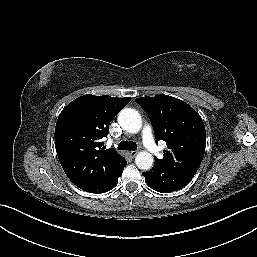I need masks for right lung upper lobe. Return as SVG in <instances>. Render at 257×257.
Masks as SVG:
<instances>
[{"mask_svg": "<svg viewBox=\"0 0 257 257\" xmlns=\"http://www.w3.org/2000/svg\"><path fill=\"white\" fill-rule=\"evenodd\" d=\"M131 98L84 95L69 103L55 127V147L67 177L79 188L98 185L120 168L123 157L101 139Z\"/></svg>", "mask_w": 257, "mask_h": 257, "instance_id": "obj_1", "label": "right lung upper lobe"}]
</instances>
